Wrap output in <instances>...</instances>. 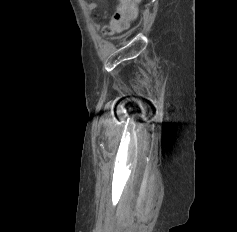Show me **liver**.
I'll return each mask as SVG.
<instances>
[{
    "label": "liver",
    "mask_w": 237,
    "mask_h": 232,
    "mask_svg": "<svg viewBox=\"0 0 237 232\" xmlns=\"http://www.w3.org/2000/svg\"><path fill=\"white\" fill-rule=\"evenodd\" d=\"M137 2H141V0H136Z\"/></svg>",
    "instance_id": "1"
}]
</instances>
